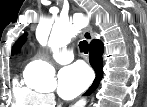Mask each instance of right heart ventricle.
Instances as JSON below:
<instances>
[{"mask_svg": "<svg viewBox=\"0 0 147 107\" xmlns=\"http://www.w3.org/2000/svg\"><path fill=\"white\" fill-rule=\"evenodd\" d=\"M14 107H40L44 105L41 93L29 88L15 79L12 87Z\"/></svg>", "mask_w": 147, "mask_h": 107, "instance_id": "right-heart-ventricle-1", "label": "right heart ventricle"}]
</instances>
